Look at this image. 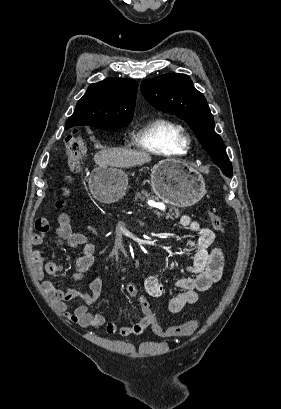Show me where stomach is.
<instances>
[{
	"mask_svg": "<svg viewBox=\"0 0 281 409\" xmlns=\"http://www.w3.org/2000/svg\"><path fill=\"white\" fill-rule=\"evenodd\" d=\"M153 192L174 207H191L206 192L205 180L185 160H160L152 168ZM90 192L100 202H116L128 188L127 174L116 166H96L88 180Z\"/></svg>",
	"mask_w": 281,
	"mask_h": 409,
	"instance_id": "1",
	"label": "stomach"
}]
</instances>
